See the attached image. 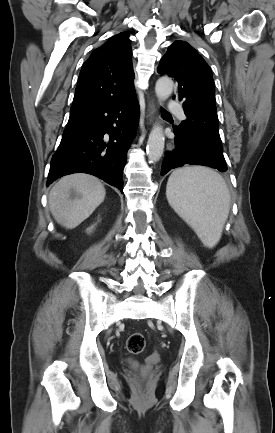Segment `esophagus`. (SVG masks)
I'll return each instance as SVG.
<instances>
[{
    "label": "esophagus",
    "instance_id": "esophagus-1",
    "mask_svg": "<svg viewBox=\"0 0 275 433\" xmlns=\"http://www.w3.org/2000/svg\"><path fill=\"white\" fill-rule=\"evenodd\" d=\"M155 107H156L155 99L153 97L148 98L147 109H146V118L149 119L150 121L153 120L154 113H155Z\"/></svg>",
    "mask_w": 275,
    "mask_h": 433
}]
</instances>
